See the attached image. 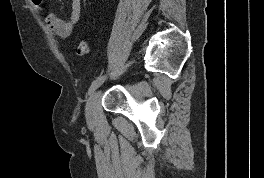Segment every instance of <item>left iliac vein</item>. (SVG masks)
<instances>
[{"mask_svg":"<svg viewBox=\"0 0 264 178\" xmlns=\"http://www.w3.org/2000/svg\"><path fill=\"white\" fill-rule=\"evenodd\" d=\"M99 95H100V90H97L90 96V98L87 101L85 114H86V119L89 123H92L95 120L96 104Z\"/></svg>","mask_w":264,"mask_h":178,"instance_id":"left-iliac-vein-1","label":"left iliac vein"}]
</instances>
